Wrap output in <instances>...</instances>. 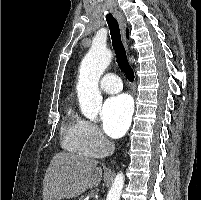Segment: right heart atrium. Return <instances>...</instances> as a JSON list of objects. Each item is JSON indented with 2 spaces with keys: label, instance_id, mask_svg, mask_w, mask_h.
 I'll use <instances>...</instances> for the list:
<instances>
[{
  "label": "right heart atrium",
  "instance_id": "d8ad5b80",
  "mask_svg": "<svg viewBox=\"0 0 201 200\" xmlns=\"http://www.w3.org/2000/svg\"><path fill=\"white\" fill-rule=\"evenodd\" d=\"M79 134L84 152L91 156H101L105 154L110 142L102 134L99 127L87 120L79 119Z\"/></svg>",
  "mask_w": 201,
  "mask_h": 200
}]
</instances>
